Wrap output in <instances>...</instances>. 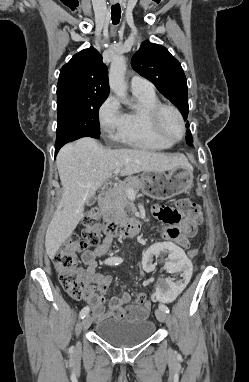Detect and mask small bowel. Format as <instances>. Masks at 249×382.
<instances>
[{
	"instance_id": "1",
	"label": "small bowel",
	"mask_w": 249,
	"mask_h": 382,
	"mask_svg": "<svg viewBox=\"0 0 249 382\" xmlns=\"http://www.w3.org/2000/svg\"><path fill=\"white\" fill-rule=\"evenodd\" d=\"M166 206L156 205L153 208L155 216L162 222L169 224L166 230V237L169 240L176 241L177 245H181V250L189 247V239L197 233L200 221L193 217L182 216L177 210L169 209V216L164 215ZM114 237L107 235L102 243L95 249H87L81 255L82 262L87 265L86 270H79L82 280L85 282L87 291L84 301L87 302L93 313V317L97 320L104 318H129L134 320L146 319L150 304L145 306L129 305L131 296L128 292H124L121 296H113L109 301V308H105L104 293L112 282V276L109 274H100L96 272L97 259L107 253ZM152 280L144 282L149 284Z\"/></svg>"
}]
</instances>
